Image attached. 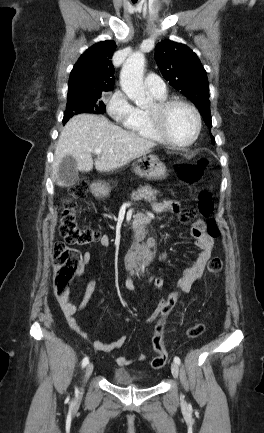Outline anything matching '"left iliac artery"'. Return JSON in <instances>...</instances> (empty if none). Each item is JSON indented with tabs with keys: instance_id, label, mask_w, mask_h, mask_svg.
I'll list each match as a JSON object with an SVG mask.
<instances>
[{
	"instance_id": "left-iliac-artery-1",
	"label": "left iliac artery",
	"mask_w": 264,
	"mask_h": 433,
	"mask_svg": "<svg viewBox=\"0 0 264 433\" xmlns=\"http://www.w3.org/2000/svg\"><path fill=\"white\" fill-rule=\"evenodd\" d=\"M174 362H176L178 365L181 363L180 358L175 356L174 357Z\"/></svg>"
}]
</instances>
